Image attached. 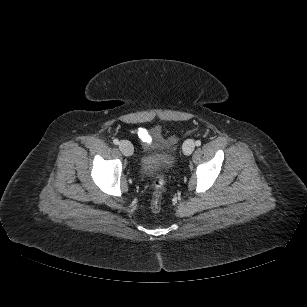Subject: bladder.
Instances as JSON below:
<instances>
[{
	"label": "bladder",
	"instance_id": "obj_1",
	"mask_svg": "<svg viewBox=\"0 0 307 307\" xmlns=\"http://www.w3.org/2000/svg\"><path fill=\"white\" fill-rule=\"evenodd\" d=\"M175 163V156L171 152H152L144 154L139 162V174L142 177L150 178L163 169H172Z\"/></svg>",
	"mask_w": 307,
	"mask_h": 307
}]
</instances>
